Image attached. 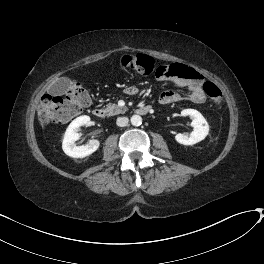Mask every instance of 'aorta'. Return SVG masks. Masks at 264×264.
<instances>
[{
    "instance_id": "762f6f07",
    "label": "aorta",
    "mask_w": 264,
    "mask_h": 264,
    "mask_svg": "<svg viewBox=\"0 0 264 264\" xmlns=\"http://www.w3.org/2000/svg\"><path fill=\"white\" fill-rule=\"evenodd\" d=\"M131 124L134 126H140L142 124V118L140 115H133L131 117Z\"/></svg>"
}]
</instances>
